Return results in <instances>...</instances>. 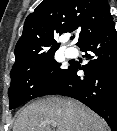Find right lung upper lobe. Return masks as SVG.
Listing matches in <instances>:
<instances>
[{
	"instance_id": "1",
	"label": "right lung upper lobe",
	"mask_w": 117,
	"mask_h": 131,
	"mask_svg": "<svg viewBox=\"0 0 117 131\" xmlns=\"http://www.w3.org/2000/svg\"><path fill=\"white\" fill-rule=\"evenodd\" d=\"M113 26L107 0H43L25 20L12 69L55 53L56 38L63 33L79 30L80 47Z\"/></svg>"
}]
</instances>
